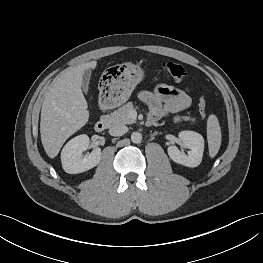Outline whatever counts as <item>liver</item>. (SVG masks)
<instances>
[{
	"instance_id": "obj_1",
	"label": "liver",
	"mask_w": 263,
	"mask_h": 263,
	"mask_svg": "<svg viewBox=\"0 0 263 263\" xmlns=\"http://www.w3.org/2000/svg\"><path fill=\"white\" fill-rule=\"evenodd\" d=\"M96 61L70 68L54 79L45 93L40 121L41 141L46 154L55 158L64 142L86 125L87 101L81 85L86 69H95Z\"/></svg>"
}]
</instances>
